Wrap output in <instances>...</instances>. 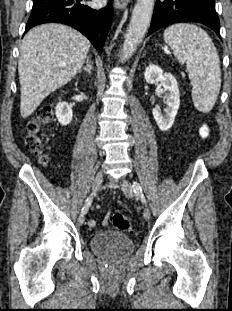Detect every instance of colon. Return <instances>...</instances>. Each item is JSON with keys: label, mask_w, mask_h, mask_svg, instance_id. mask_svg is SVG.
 <instances>
[{"label": "colon", "mask_w": 232, "mask_h": 311, "mask_svg": "<svg viewBox=\"0 0 232 311\" xmlns=\"http://www.w3.org/2000/svg\"><path fill=\"white\" fill-rule=\"evenodd\" d=\"M53 119V113L50 108H43L38 112L37 118L28 123V134L25 138L27 149L36 154L41 155L43 148V129ZM43 159V158H42ZM111 222L114 228L122 231H133V222L122 214H113Z\"/></svg>", "instance_id": "1"}]
</instances>
